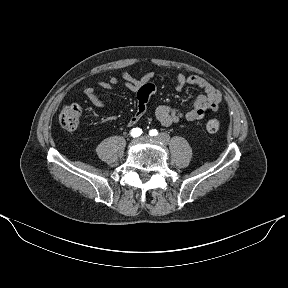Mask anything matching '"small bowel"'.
I'll return each instance as SVG.
<instances>
[{"label":"small bowel","instance_id":"small-bowel-1","mask_svg":"<svg viewBox=\"0 0 288 288\" xmlns=\"http://www.w3.org/2000/svg\"><path fill=\"white\" fill-rule=\"evenodd\" d=\"M153 77V72H149L141 78H135L126 71L122 73L125 87L132 92H135L137 95L136 111L128 119V127H134L145 116L149 98L156 92V87L151 82ZM118 84L119 80L115 76H111L108 80L98 82V85L103 89H112ZM189 85L202 89L204 94H201L196 98L193 107L187 112H182L181 110L168 105L156 107L155 116L162 126H171L172 124L180 122L182 119H186L187 121L201 120L205 117L207 112L216 111L218 109L221 102V94L210 82L196 75L179 73L176 78V89L182 90L185 86ZM84 93L95 107L99 109L105 108V104L98 98L93 88H86Z\"/></svg>","mask_w":288,"mask_h":288}]
</instances>
